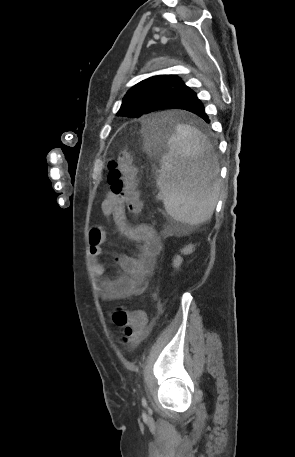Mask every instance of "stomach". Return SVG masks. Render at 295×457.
Here are the masks:
<instances>
[{
  "instance_id": "stomach-1",
  "label": "stomach",
  "mask_w": 295,
  "mask_h": 457,
  "mask_svg": "<svg viewBox=\"0 0 295 457\" xmlns=\"http://www.w3.org/2000/svg\"><path fill=\"white\" fill-rule=\"evenodd\" d=\"M145 132H146V135L148 136L149 139H153L155 141H159L160 145H161V148L164 150V151H168L169 150V145H168V140L170 138L171 135H174V132L172 133V131L170 130V126L167 125V128L156 133V132H153L150 128V126H147L145 128ZM171 133V134H170Z\"/></svg>"
}]
</instances>
